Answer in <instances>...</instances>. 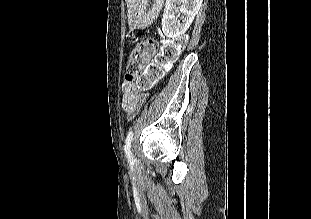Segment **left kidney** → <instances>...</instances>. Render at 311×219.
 I'll return each instance as SVG.
<instances>
[{
  "label": "left kidney",
  "instance_id": "obj_1",
  "mask_svg": "<svg viewBox=\"0 0 311 219\" xmlns=\"http://www.w3.org/2000/svg\"><path fill=\"white\" fill-rule=\"evenodd\" d=\"M203 0H166L162 31L168 38L184 34L192 24ZM180 14H182L180 16Z\"/></svg>",
  "mask_w": 311,
  "mask_h": 219
}]
</instances>
